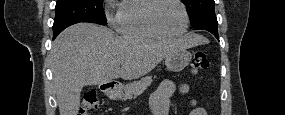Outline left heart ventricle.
I'll return each mask as SVG.
<instances>
[{"label": "left heart ventricle", "instance_id": "1", "mask_svg": "<svg viewBox=\"0 0 285 115\" xmlns=\"http://www.w3.org/2000/svg\"><path fill=\"white\" fill-rule=\"evenodd\" d=\"M156 20L168 32H179L185 24L181 7L174 1L160 3L156 11Z\"/></svg>", "mask_w": 285, "mask_h": 115}]
</instances>
